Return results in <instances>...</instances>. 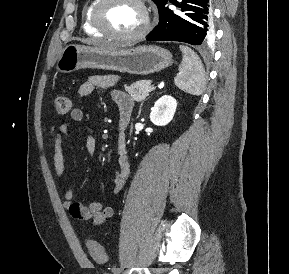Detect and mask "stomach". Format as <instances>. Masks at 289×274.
Returning <instances> with one entry per match:
<instances>
[{
  "label": "stomach",
  "instance_id": "0dacf381",
  "mask_svg": "<svg viewBox=\"0 0 289 274\" xmlns=\"http://www.w3.org/2000/svg\"><path fill=\"white\" fill-rule=\"evenodd\" d=\"M172 64L171 53L158 46H137L130 49L104 50L77 44L66 45L56 63L60 73L96 68L135 75H148Z\"/></svg>",
  "mask_w": 289,
  "mask_h": 274
}]
</instances>
